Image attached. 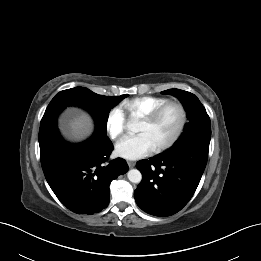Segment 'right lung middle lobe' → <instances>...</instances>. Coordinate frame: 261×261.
<instances>
[{
    "label": "right lung middle lobe",
    "mask_w": 261,
    "mask_h": 261,
    "mask_svg": "<svg viewBox=\"0 0 261 261\" xmlns=\"http://www.w3.org/2000/svg\"><path fill=\"white\" fill-rule=\"evenodd\" d=\"M127 96L128 95L108 97L98 95L85 87L63 90L49 103L41 120V124L56 121L57 116L65 107L76 105L87 110L95 120L96 130L106 135V126L110 110Z\"/></svg>",
    "instance_id": "right-lung-middle-lobe-1"
}]
</instances>
